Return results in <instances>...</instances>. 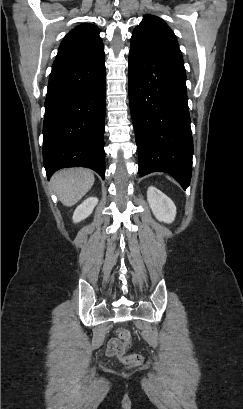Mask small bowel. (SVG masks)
I'll return each mask as SVG.
<instances>
[{
  "instance_id": "obj_1",
  "label": "small bowel",
  "mask_w": 243,
  "mask_h": 409,
  "mask_svg": "<svg viewBox=\"0 0 243 409\" xmlns=\"http://www.w3.org/2000/svg\"><path fill=\"white\" fill-rule=\"evenodd\" d=\"M121 349L119 340L116 338H111L106 347V356L110 358H119Z\"/></svg>"
}]
</instances>
